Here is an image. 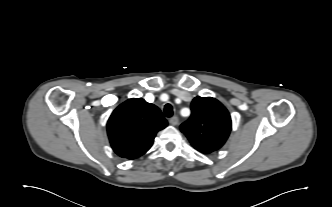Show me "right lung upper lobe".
<instances>
[{
    "mask_svg": "<svg viewBox=\"0 0 332 207\" xmlns=\"http://www.w3.org/2000/svg\"><path fill=\"white\" fill-rule=\"evenodd\" d=\"M166 126L167 121L158 107L142 98H132L113 111L107 132L114 152L132 160L145 154L156 133Z\"/></svg>",
    "mask_w": 332,
    "mask_h": 207,
    "instance_id": "cb5924a9",
    "label": "right lung upper lobe"
}]
</instances>
